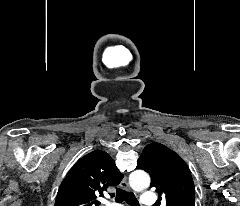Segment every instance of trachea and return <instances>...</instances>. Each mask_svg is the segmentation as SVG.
<instances>
[{
  "mask_svg": "<svg viewBox=\"0 0 240 206\" xmlns=\"http://www.w3.org/2000/svg\"><path fill=\"white\" fill-rule=\"evenodd\" d=\"M116 201L123 202L126 201L131 206H138V200L136 199L135 195L131 192H126L120 188L116 189Z\"/></svg>",
  "mask_w": 240,
  "mask_h": 206,
  "instance_id": "trachea-1",
  "label": "trachea"
}]
</instances>
